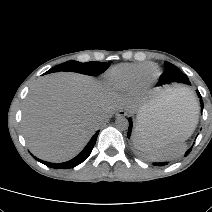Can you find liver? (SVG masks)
Segmentation results:
<instances>
[{"label":"liver","mask_w":212,"mask_h":212,"mask_svg":"<svg viewBox=\"0 0 212 212\" xmlns=\"http://www.w3.org/2000/svg\"><path fill=\"white\" fill-rule=\"evenodd\" d=\"M150 102L153 116L147 129L185 138L194 131L197 112H189L165 92ZM121 106L132 108L130 101L108 92L91 77L66 72L49 74L40 78L26 97L23 135L37 157L64 162L84 148L98 128L97 119H106Z\"/></svg>","instance_id":"1"}]
</instances>
